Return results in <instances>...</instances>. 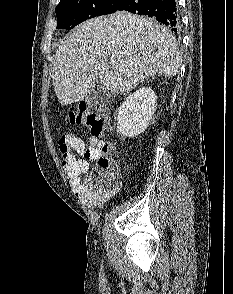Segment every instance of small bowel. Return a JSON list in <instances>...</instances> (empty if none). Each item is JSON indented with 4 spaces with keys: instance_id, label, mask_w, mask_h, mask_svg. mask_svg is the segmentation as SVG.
<instances>
[{
    "instance_id": "1",
    "label": "small bowel",
    "mask_w": 233,
    "mask_h": 294,
    "mask_svg": "<svg viewBox=\"0 0 233 294\" xmlns=\"http://www.w3.org/2000/svg\"><path fill=\"white\" fill-rule=\"evenodd\" d=\"M100 143V140L92 137L85 143L80 136H69L70 150L67 157L62 159V164L72 182L78 181L81 175L88 173L89 161L94 159L96 149ZM119 186V183L113 181L107 188H90L85 179L81 183L80 194L86 205L96 207L107 202L118 191Z\"/></svg>"
}]
</instances>
